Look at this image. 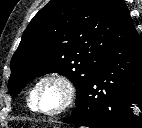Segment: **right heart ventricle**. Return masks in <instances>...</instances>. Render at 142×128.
I'll return each mask as SVG.
<instances>
[{
    "instance_id": "e07e8e85",
    "label": "right heart ventricle",
    "mask_w": 142,
    "mask_h": 128,
    "mask_svg": "<svg viewBox=\"0 0 142 128\" xmlns=\"http://www.w3.org/2000/svg\"><path fill=\"white\" fill-rule=\"evenodd\" d=\"M38 83V82H37ZM37 83H35L29 90L28 95H27V99H26V103L28 108L31 111H35V106H34V94H35V90L37 87Z\"/></svg>"
}]
</instances>
